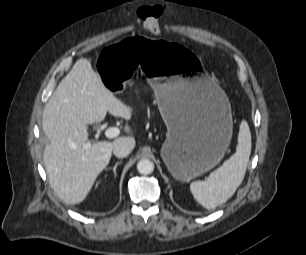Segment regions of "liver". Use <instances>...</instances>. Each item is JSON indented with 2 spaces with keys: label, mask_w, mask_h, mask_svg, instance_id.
Returning <instances> with one entry per match:
<instances>
[{
  "label": "liver",
  "mask_w": 306,
  "mask_h": 255,
  "mask_svg": "<svg viewBox=\"0 0 306 255\" xmlns=\"http://www.w3.org/2000/svg\"><path fill=\"white\" fill-rule=\"evenodd\" d=\"M107 112L131 120L132 108L126 105L102 83L89 60L76 61L48 100L42 117V127L49 139L43 161L55 194L68 204H79L91 191L99 174L107 167L115 144L99 141L88 149L87 126L105 119ZM130 133V127L125 126Z\"/></svg>",
  "instance_id": "6515ba94"
}]
</instances>
